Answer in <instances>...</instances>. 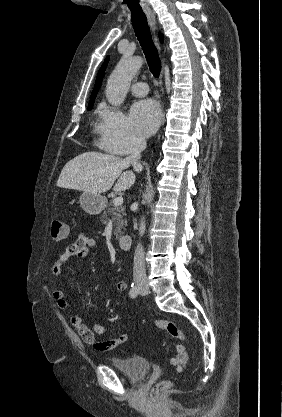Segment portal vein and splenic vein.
Listing matches in <instances>:
<instances>
[{
  "instance_id": "18ae733b",
  "label": "portal vein and splenic vein",
  "mask_w": 282,
  "mask_h": 417,
  "mask_svg": "<svg viewBox=\"0 0 282 417\" xmlns=\"http://www.w3.org/2000/svg\"><path fill=\"white\" fill-rule=\"evenodd\" d=\"M123 202V196H117V198H114L113 204L114 206H118V204H122Z\"/></svg>"
}]
</instances>
